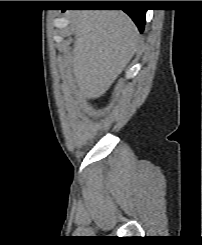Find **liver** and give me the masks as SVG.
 <instances>
[{
	"mask_svg": "<svg viewBox=\"0 0 202 245\" xmlns=\"http://www.w3.org/2000/svg\"><path fill=\"white\" fill-rule=\"evenodd\" d=\"M75 41L71 63L80 97L99 98L110 88L137 50L139 32L117 10H82L71 14Z\"/></svg>",
	"mask_w": 202,
	"mask_h": 245,
	"instance_id": "liver-1",
	"label": "liver"
}]
</instances>
